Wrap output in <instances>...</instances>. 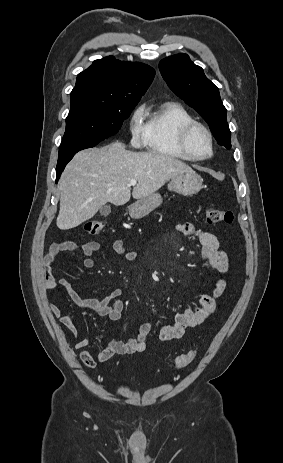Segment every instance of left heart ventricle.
<instances>
[{
  "label": "left heart ventricle",
  "instance_id": "left-heart-ventricle-1",
  "mask_svg": "<svg viewBox=\"0 0 283 463\" xmlns=\"http://www.w3.org/2000/svg\"><path fill=\"white\" fill-rule=\"evenodd\" d=\"M190 147L198 156H207L210 153L209 139L200 129H197L192 133L190 137Z\"/></svg>",
  "mask_w": 283,
  "mask_h": 463
}]
</instances>
